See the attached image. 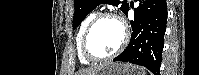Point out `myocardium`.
<instances>
[{
  "label": "myocardium",
  "instance_id": "1",
  "mask_svg": "<svg viewBox=\"0 0 199 75\" xmlns=\"http://www.w3.org/2000/svg\"><path fill=\"white\" fill-rule=\"evenodd\" d=\"M103 19H112L120 25L122 29V40L120 44L118 45V47L110 54H107L105 56H95L88 49V39L94 26ZM128 40H129L128 27L120 16L114 13H109V12L100 13V14L95 15L92 18V20L90 21V23L87 25L86 29L83 32L82 39H81V52L84 58L89 61H92V62L104 61V60L111 59L117 56L124 49V47L128 43Z\"/></svg>",
  "mask_w": 199,
  "mask_h": 75
}]
</instances>
